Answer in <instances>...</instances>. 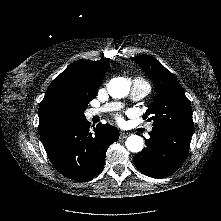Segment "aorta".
Returning <instances> with one entry per match:
<instances>
[{
  "mask_svg": "<svg viewBox=\"0 0 221 221\" xmlns=\"http://www.w3.org/2000/svg\"><path fill=\"white\" fill-rule=\"evenodd\" d=\"M113 98H123L129 94L130 82L124 77L113 78L107 86ZM144 141L138 135H131L126 140V147L130 152L138 153L143 149Z\"/></svg>",
  "mask_w": 221,
  "mask_h": 221,
  "instance_id": "762f6f07",
  "label": "aorta"
}]
</instances>
